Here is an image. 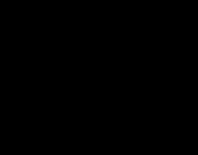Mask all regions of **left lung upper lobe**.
Here are the masks:
<instances>
[{"label":"left lung upper lobe","instance_id":"1","mask_svg":"<svg viewBox=\"0 0 198 155\" xmlns=\"http://www.w3.org/2000/svg\"><path fill=\"white\" fill-rule=\"evenodd\" d=\"M124 90L127 96L138 104L153 103L160 96L157 84L141 72H136L126 81Z\"/></svg>","mask_w":198,"mask_h":155}]
</instances>
